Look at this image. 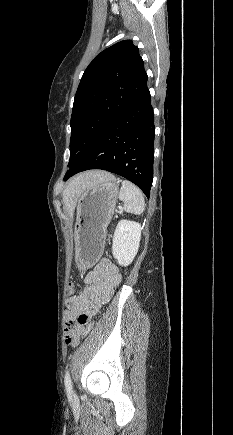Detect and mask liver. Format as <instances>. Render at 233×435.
I'll return each mask as SVG.
<instances>
[{"mask_svg":"<svg viewBox=\"0 0 233 435\" xmlns=\"http://www.w3.org/2000/svg\"><path fill=\"white\" fill-rule=\"evenodd\" d=\"M109 173L88 171L73 177L63 191V203L70 215L73 214L80 195L88 188L100 183Z\"/></svg>","mask_w":233,"mask_h":435,"instance_id":"6515ba94","label":"liver"}]
</instances>
